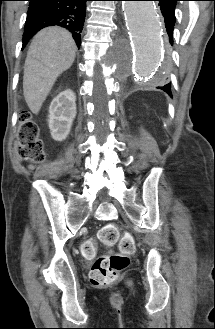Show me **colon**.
Returning a JSON list of instances; mask_svg holds the SVG:
<instances>
[{"label":"colon","instance_id":"5ec220e1","mask_svg":"<svg viewBox=\"0 0 215 329\" xmlns=\"http://www.w3.org/2000/svg\"><path fill=\"white\" fill-rule=\"evenodd\" d=\"M18 142L20 159L33 163H41L45 160L46 155L43 142L39 138V128L27 112L21 115ZM98 236L106 246H113L119 241L120 253L99 256L90 271V280L94 286H107L113 284L119 272L129 265V257L135 250V241L129 234L120 238L118 228L114 224L104 226ZM81 251L84 256H92L95 251L94 244L90 241L85 242Z\"/></svg>","mask_w":215,"mask_h":329}]
</instances>
